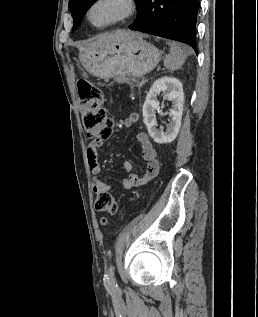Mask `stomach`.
<instances>
[{
	"label": "stomach",
	"mask_w": 258,
	"mask_h": 317,
	"mask_svg": "<svg viewBox=\"0 0 258 317\" xmlns=\"http://www.w3.org/2000/svg\"><path fill=\"white\" fill-rule=\"evenodd\" d=\"M162 50L133 32L131 40L104 42L100 46H79V60L91 74L112 78L117 74L143 76L157 66Z\"/></svg>",
	"instance_id": "1"
}]
</instances>
